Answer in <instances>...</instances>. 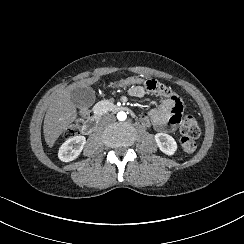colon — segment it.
<instances>
[{
    "instance_id": "5ec220e1",
    "label": "colon",
    "mask_w": 244,
    "mask_h": 244,
    "mask_svg": "<svg viewBox=\"0 0 244 244\" xmlns=\"http://www.w3.org/2000/svg\"><path fill=\"white\" fill-rule=\"evenodd\" d=\"M70 130L75 132L77 126H71ZM179 132L181 135L179 140L180 148L188 154L195 152L197 148L195 139L200 134V126L197 121L190 115H184L179 122Z\"/></svg>"
}]
</instances>
